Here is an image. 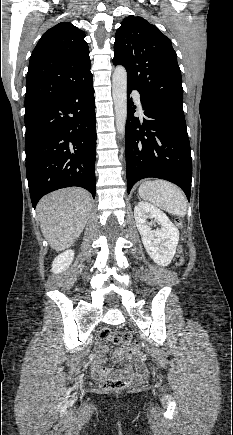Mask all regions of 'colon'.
Segmentation results:
<instances>
[{"mask_svg":"<svg viewBox=\"0 0 233 435\" xmlns=\"http://www.w3.org/2000/svg\"><path fill=\"white\" fill-rule=\"evenodd\" d=\"M178 224H181L179 220H177ZM175 262L177 266H182L184 263V257L182 255V249L179 248V253L175 258ZM99 338L102 341H111L115 344L124 343L126 345H133L134 341L131 334L123 331H112L109 328H103L99 331ZM100 386L103 390L108 392H116L121 391L127 388L128 382L126 378H104Z\"/></svg>","mask_w":233,"mask_h":435,"instance_id":"obj_1","label":"colon"}]
</instances>
